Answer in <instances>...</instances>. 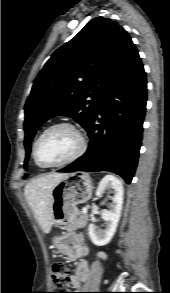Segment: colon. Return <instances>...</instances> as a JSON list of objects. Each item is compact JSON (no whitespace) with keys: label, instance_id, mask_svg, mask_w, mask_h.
Instances as JSON below:
<instances>
[{"label":"colon","instance_id":"1","mask_svg":"<svg viewBox=\"0 0 170 293\" xmlns=\"http://www.w3.org/2000/svg\"><path fill=\"white\" fill-rule=\"evenodd\" d=\"M52 276H53L54 284L58 286V288L63 289L69 277V270L63 263L56 262L52 266ZM55 293H65V292L60 291Z\"/></svg>","mask_w":170,"mask_h":293}]
</instances>
